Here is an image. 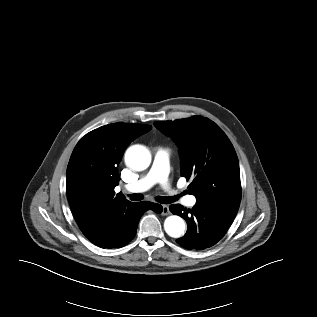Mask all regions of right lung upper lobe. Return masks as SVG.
Listing matches in <instances>:
<instances>
[{
	"instance_id": "obj_1",
	"label": "right lung upper lobe",
	"mask_w": 317,
	"mask_h": 317,
	"mask_svg": "<svg viewBox=\"0 0 317 317\" xmlns=\"http://www.w3.org/2000/svg\"><path fill=\"white\" fill-rule=\"evenodd\" d=\"M150 129L148 125L114 123L89 132L77 143L66 181L73 213L92 203L103 210L130 203L122 193L114 192L120 180L118 165L129 143Z\"/></svg>"
}]
</instances>
